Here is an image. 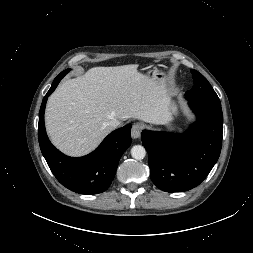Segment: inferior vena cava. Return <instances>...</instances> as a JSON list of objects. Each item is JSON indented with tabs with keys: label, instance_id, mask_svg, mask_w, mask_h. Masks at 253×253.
I'll return each instance as SVG.
<instances>
[{
	"label": "inferior vena cava",
	"instance_id": "inferior-vena-cava-1",
	"mask_svg": "<svg viewBox=\"0 0 253 253\" xmlns=\"http://www.w3.org/2000/svg\"><path fill=\"white\" fill-rule=\"evenodd\" d=\"M108 125L112 128L115 129L120 125V121L118 120H111L108 122Z\"/></svg>",
	"mask_w": 253,
	"mask_h": 253
}]
</instances>
